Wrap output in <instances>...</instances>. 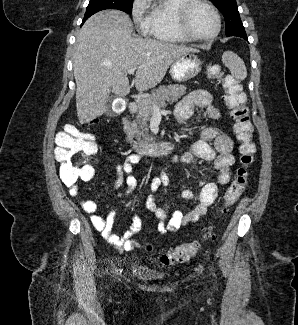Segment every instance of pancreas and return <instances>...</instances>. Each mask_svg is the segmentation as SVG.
I'll return each instance as SVG.
<instances>
[{
  "label": "pancreas",
  "instance_id": "obj_1",
  "mask_svg": "<svg viewBox=\"0 0 298 325\" xmlns=\"http://www.w3.org/2000/svg\"><path fill=\"white\" fill-rule=\"evenodd\" d=\"M187 86L185 84H164L152 90L151 96L137 100L138 112L135 120L130 124V134L137 138V144H148L155 142L156 136H152L149 132L147 124L153 114V104L157 106H166L167 102H177L183 94H186Z\"/></svg>",
  "mask_w": 298,
  "mask_h": 325
}]
</instances>
